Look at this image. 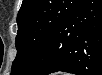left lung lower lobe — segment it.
Returning a JSON list of instances; mask_svg holds the SVG:
<instances>
[{
    "mask_svg": "<svg viewBox=\"0 0 102 75\" xmlns=\"http://www.w3.org/2000/svg\"><path fill=\"white\" fill-rule=\"evenodd\" d=\"M102 74V1L83 0L46 41L29 75Z\"/></svg>",
    "mask_w": 102,
    "mask_h": 75,
    "instance_id": "left-lung-lower-lobe-1",
    "label": "left lung lower lobe"
}]
</instances>
